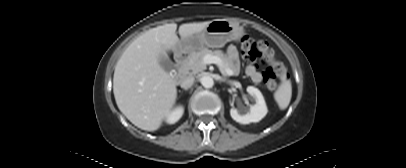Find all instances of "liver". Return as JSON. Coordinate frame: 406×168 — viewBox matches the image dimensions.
Listing matches in <instances>:
<instances>
[{
  "mask_svg": "<svg viewBox=\"0 0 406 168\" xmlns=\"http://www.w3.org/2000/svg\"><path fill=\"white\" fill-rule=\"evenodd\" d=\"M211 21L182 24L181 39L202 32ZM170 23L137 37L118 60L113 77L116 104L124 116L145 131H156L176 102V82L160 65L179 42Z\"/></svg>",
  "mask_w": 406,
  "mask_h": 168,
  "instance_id": "1",
  "label": "liver"
}]
</instances>
